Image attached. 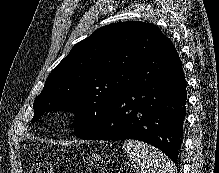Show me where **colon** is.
Wrapping results in <instances>:
<instances>
[{
	"label": "colon",
	"instance_id": "colon-1",
	"mask_svg": "<svg viewBox=\"0 0 219 173\" xmlns=\"http://www.w3.org/2000/svg\"><path fill=\"white\" fill-rule=\"evenodd\" d=\"M30 173H51V164L48 160L37 159L33 162Z\"/></svg>",
	"mask_w": 219,
	"mask_h": 173
}]
</instances>
